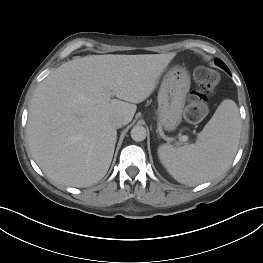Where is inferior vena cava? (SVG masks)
Instances as JSON below:
<instances>
[{
    "label": "inferior vena cava",
    "mask_w": 263,
    "mask_h": 263,
    "mask_svg": "<svg viewBox=\"0 0 263 263\" xmlns=\"http://www.w3.org/2000/svg\"><path fill=\"white\" fill-rule=\"evenodd\" d=\"M111 122L115 128H121L124 125V120L120 116L112 118Z\"/></svg>",
    "instance_id": "1"
}]
</instances>
